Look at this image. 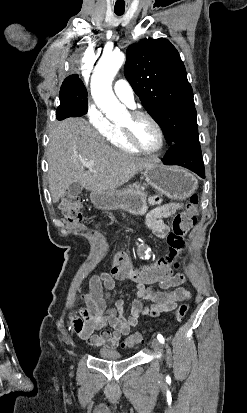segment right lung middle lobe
I'll use <instances>...</instances> for the list:
<instances>
[{
	"label": "right lung middle lobe",
	"instance_id": "dd1d6c3e",
	"mask_svg": "<svg viewBox=\"0 0 247 413\" xmlns=\"http://www.w3.org/2000/svg\"><path fill=\"white\" fill-rule=\"evenodd\" d=\"M60 101L75 108L79 116L87 113V90L81 80L64 81L60 89Z\"/></svg>",
	"mask_w": 247,
	"mask_h": 413
}]
</instances>
